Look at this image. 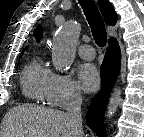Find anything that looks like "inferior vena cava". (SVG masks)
Here are the masks:
<instances>
[{
	"label": "inferior vena cava",
	"instance_id": "1",
	"mask_svg": "<svg viewBox=\"0 0 144 137\" xmlns=\"http://www.w3.org/2000/svg\"><path fill=\"white\" fill-rule=\"evenodd\" d=\"M82 97L78 92H72L67 104V114L72 121V126L77 131V137H84L81 117Z\"/></svg>",
	"mask_w": 144,
	"mask_h": 137
}]
</instances>
